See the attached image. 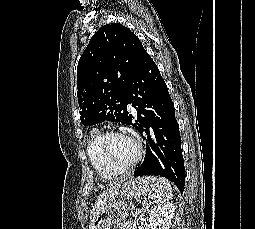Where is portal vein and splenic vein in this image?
Segmentation results:
<instances>
[{
	"mask_svg": "<svg viewBox=\"0 0 255 229\" xmlns=\"http://www.w3.org/2000/svg\"><path fill=\"white\" fill-rule=\"evenodd\" d=\"M139 213H140V211H139V210H137V211H136V214H139Z\"/></svg>",
	"mask_w": 255,
	"mask_h": 229,
	"instance_id": "18ae733b",
	"label": "portal vein and splenic vein"
}]
</instances>
